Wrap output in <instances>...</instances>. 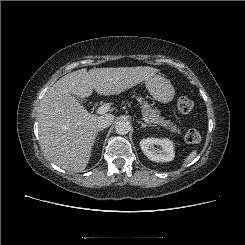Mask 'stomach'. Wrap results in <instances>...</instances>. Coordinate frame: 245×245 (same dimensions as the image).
<instances>
[{
  "label": "stomach",
  "instance_id": "obj_1",
  "mask_svg": "<svg viewBox=\"0 0 245 245\" xmlns=\"http://www.w3.org/2000/svg\"><path fill=\"white\" fill-rule=\"evenodd\" d=\"M146 88L152 97L164 104L171 102L175 96V89L166 78L153 75L145 81Z\"/></svg>",
  "mask_w": 245,
  "mask_h": 245
}]
</instances>
